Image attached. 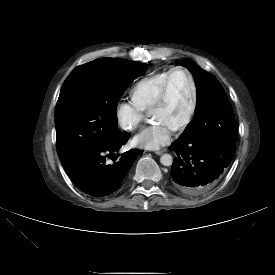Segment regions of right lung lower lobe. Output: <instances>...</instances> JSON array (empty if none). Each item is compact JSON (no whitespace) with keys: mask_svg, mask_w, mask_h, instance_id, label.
<instances>
[{"mask_svg":"<svg viewBox=\"0 0 275 275\" xmlns=\"http://www.w3.org/2000/svg\"><path fill=\"white\" fill-rule=\"evenodd\" d=\"M127 139L121 133L95 147L77 150L61 158L71 180L86 194L103 197L116 191L141 150L133 149L122 154L118 161L109 164L107 157L117 158L115 152Z\"/></svg>","mask_w":275,"mask_h":275,"instance_id":"1","label":"right lung lower lobe"}]
</instances>
